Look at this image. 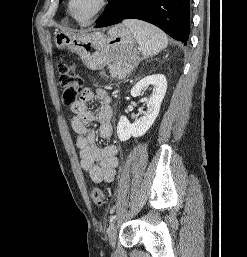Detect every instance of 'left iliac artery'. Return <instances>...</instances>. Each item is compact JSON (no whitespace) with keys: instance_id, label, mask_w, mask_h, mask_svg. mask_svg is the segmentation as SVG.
<instances>
[{"instance_id":"1","label":"left iliac artery","mask_w":247,"mask_h":257,"mask_svg":"<svg viewBox=\"0 0 247 257\" xmlns=\"http://www.w3.org/2000/svg\"><path fill=\"white\" fill-rule=\"evenodd\" d=\"M116 219V215L110 217V223H112Z\"/></svg>"}]
</instances>
